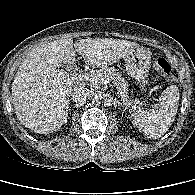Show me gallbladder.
<instances>
[{
    "label": "gallbladder",
    "instance_id": "bac80fb5",
    "mask_svg": "<svg viewBox=\"0 0 195 195\" xmlns=\"http://www.w3.org/2000/svg\"><path fill=\"white\" fill-rule=\"evenodd\" d=\"M66 67H68V65H67ZM70 67H71V68H70ZM68 68H70V69H71V71H73V70H74V68H75V66H69Z\"/></svg>",
    "mask_w": 195,
    "mask_h": 195
}]
</instances>
